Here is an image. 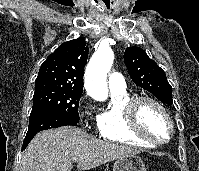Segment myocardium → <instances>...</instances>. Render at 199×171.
<instances>
[{"label": "myocardium", "instance_id": "1", "mask_svg": "<svg viewBox=\"0 0 199 171\" xmlns=\"http://www.w3.org/2000/svg\"><path fill=\"white\" fill-rule=\"evenodd\" d=\"M151 104L155 106L166 118L169 126L168 137L164 140H158L150 136L141 126L140 114L141 109L144 104ZM126 116L128 121V126L131 132L137 137L153 144L154 146H161L170 142L175 133V127L173 119L166 109V107L157 99L150 96H136L132 97L126 104Z\"/></svg>", "mask_w": 199, "mask_h": 171}]
</instances>
